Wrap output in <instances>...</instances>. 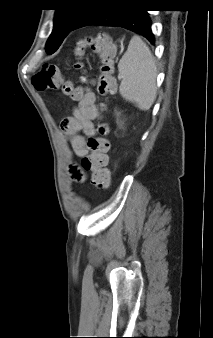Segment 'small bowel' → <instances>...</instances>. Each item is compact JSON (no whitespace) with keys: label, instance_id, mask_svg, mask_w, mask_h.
<instances>
[{"label":"small bowel","instance_id":"small-bowel-1","mask_svg":"<svg viewBox=\"0 0 213 338\" xmlns=\"http://www.w3.org/2000/svg\"><path fill=\"white\" fill-rule=\"evenodd\" d=\"M99 110L95 104V95L88 91L73 110V118L77 121L78 127L75 131L67 130L62 127L65 136L68 138L71 148L77 157H84L88 154L89 148L86 137L95 134L93 121L97 117ZM75 176L80 177L81 173L75 170Z\"/></svg>","mask_w":213,"mask_h":338}]
</instances>
